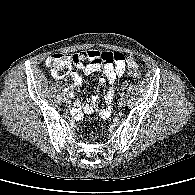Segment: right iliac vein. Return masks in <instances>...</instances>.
Listing matches in <instances>:
<instances>
[{"mask_svg": "<svg viewBox=\"0 0 195 195\" xmlns=\"http://www.w3.org/2000/svg\"><path fill=\"white\" fill-rule=\"evenodd\" d=\"M63 102L66 103V104H69L70 103V97L68 94H65L62 98Z\"/></svg>", "mask_w": 195, "mask_h": 195, "instance_id": "right-iliac-vein-1", "label": "right iliac vein"}]
</instances>
